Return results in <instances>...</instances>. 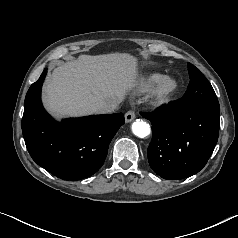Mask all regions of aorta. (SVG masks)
<instances>
[{"label":"aorta","mask_w":238,"mask_h":238,"mask_svg":"<svg viewBox=\"0 0 238 238\" xmlns=\"http://www.w3.org/2000/svg\"><path fill=\"white\" fill-rule=\"evenodd\" d=\"M132 132L139 138H145L151 132L150 125L142 120L132 123Z\"/></svg>","instance_id":"aorta-1"}]
</instances>
